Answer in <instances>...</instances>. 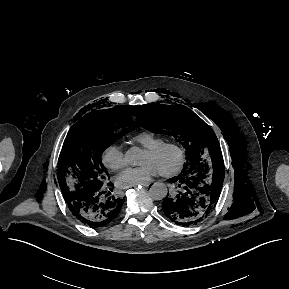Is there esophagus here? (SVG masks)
I'll list each match as a JSON object with an SVG mask.
<instances>
[{"mask_svg":"<svg viewBox=\"0 0 289 289\" xmlns=\"http://www.w3.org/2000/svg\"><path fill=\"white\" fill-rule=\"evenodd\" d=\"M150 183H147V184H144L142 185V187L146 188V187H149Z\"/></svg>","mask_w":289,"mask_h":289,"instance_id":"esophagus-1","label":"esophagus"}]
</instances>
